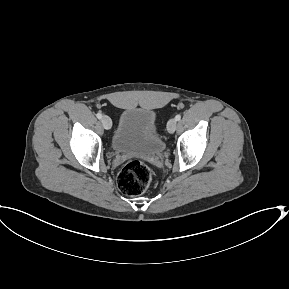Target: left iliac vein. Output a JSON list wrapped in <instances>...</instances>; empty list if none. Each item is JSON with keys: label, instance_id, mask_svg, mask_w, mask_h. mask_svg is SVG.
Segmentation results:
<instances>
[{"label": "left iliac vein", "instance_id": "obj_1", "mask_svg": "<svg viewBox=\"0 0 289 289\" xmlns=\"http://www.w3.org/2000/svg\"><path fill=\"white\" fill-rule=\"evenodd\" d=\"M177 127L176 119H170L167 123V130L169 133H174Z\"/></svg>", "mask_w": 289, "mask_h": 289}]
</instances>
